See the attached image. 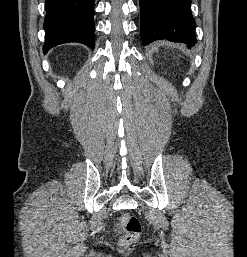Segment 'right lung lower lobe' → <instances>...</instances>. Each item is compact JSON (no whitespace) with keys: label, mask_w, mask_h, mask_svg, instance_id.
<instances>
[{"label":"right lung lower lobe","mask_w":247,"mask_h":257,"mask_svg":"<svg viewBox=\"0 0 247 257\" xmlns=\"http://www.w3.org/2000/svg\"><path fill=\"white\" fill-rule=\"evenodd\" d=\"M44 53L59 44L79 42L94 49L93 0H46Z\"/></svg>","instance_id":"98d812e1"}]
</instances>
